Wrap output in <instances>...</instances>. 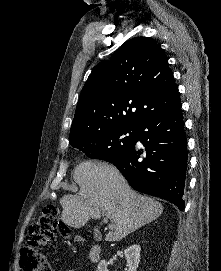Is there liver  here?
<instances>
[{"mask_svg":"<svg viewBox=\"0 0 221 271\" xmlns=\"http://www.w3.org/2000/svg\"><path fill=\"white\" fill-rule=\"evenodd\" d=\"M73 179L79 191L62 197L61 219L71 227H83L89 219L108 215L113 225L106 241H121L163 211L162 203L131 189L115 165L88 159L76 165Z\"/></svg>","mask_w":221,"mask_h":271,"instance_id":"liver-1","label":"liver"}]
</instances>
